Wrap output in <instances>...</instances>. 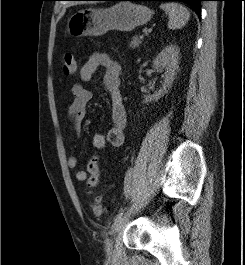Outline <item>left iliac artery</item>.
I'll return each instance as SVG.
<instances>
[{
    "label": "left iliac artery",
    "instance_id": "44dca946",
    "mask_svg": "<svg viewBox=\"0 0 245 265\" xmlns=\"http://www.w3.org/2000/svg\"><path fill=\"white\" fill-rule=\"evenodd\" d=\"M134 172L133 168H129L126 172L125 175V180H124V193L125 196L128 197L129 193H130V182H131V177L132 174ZM124 214V210H121L116 216H115V220L120 219Z\"/></svg>",
    "mask_w": 245,
    "mask_h": 265
}]
</instances>
